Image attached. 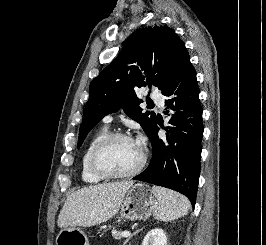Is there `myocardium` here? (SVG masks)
I'll return each mask as SVG.
<instances>
[{"mask_svg":"<svg viewBox=\"0 0 266 245\" xmlns=\"http://www.w3.org/2000/svg\"><path fill=\"white\" fill-rule=\"evenodd\" d=\"M116 139L133 140L128 134L124 132L120 131L108 132L95 144L90 154L91 169L98 177H100L103 180L131 178L137 175L142 170L145 164L146 160L145 152L141 147H139L140 150L139 161L136 167L132 171L124 174H116L105 169L101 161L102 154L105 151V149L108 147V145Z\"/></svg>","mask_w":266,"mask_h":245,"instance_id":"obj_1","label":"myocardium"}]
</instances>
